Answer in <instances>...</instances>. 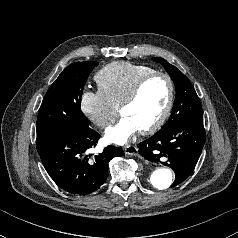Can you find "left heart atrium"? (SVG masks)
I'll use <instances>...</instances> for the list:
<instances>
[{
	"label": "left heart atrium",
	"mask_w": 238,
	"mask_h": 238,
	"mask_svg": "<svg viewBox=\"0 0 238 238\" xmlns=\"http://www.w3.org/2000/svg\"><path fill=\"white\" fill-rule=\"evenodd\" d=\"M139 130L137 124L130 117L123 116L117 124L106 130L105 139L110 143L123 145Z\"/></svg>",
	"instance_id": "left-heart-atrium-1"
}]
</instances>
